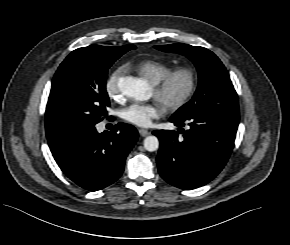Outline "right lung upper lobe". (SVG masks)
<instances>
[{"mask_svg": "<svg viewBox=\"0 0 290 245\" xmlns=\"http://www.w3.org/2000/svg\"><path fill=\"white\" fill-rule=\"evenodd\" d=\"M123 47H135L134 45H125V46H120V47H106V46H99V45H92L89 46L88 48H98V49H104V50H115L118 48H123ZM46 128V134L49 132H52L54 130L60 129V127L51 125V124H45Z\"/></svg>", "mask_w": 290, "mask_h": 245, "instance_id": "obj_1", "label": "right lung upper lobe"}]
</instances>
